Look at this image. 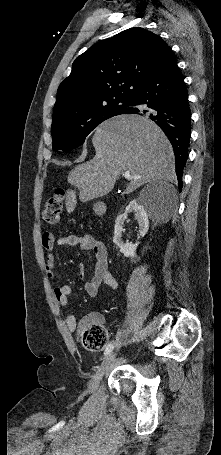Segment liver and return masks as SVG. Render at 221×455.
<instances>
[{"mask_svg":"<svg viewBox=\"0 0 221 455\" xmlns=\"http://www.w3.org/2000/svg\"><path fill=\"white\" fill-rule=\"evenodd\" d=\"M95 156L76 166L68 182L86 202L107 195L116 179L127 171L133 177L123 195L153 180L174 181L175 160L172 146L162 130L150 119L123 114L101 123L92 138ZM68 213L77 205L76 191L67 190Z\"/></svg>","mask_w":221,"mask_h":455,"instance_id":"1","label":"liver"}]
</instances>
